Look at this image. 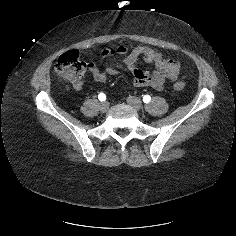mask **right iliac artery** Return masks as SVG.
<instances>
[{
    "mask_svg": "<svg viewBox=\"0 0 236 236\" xmlns=\"http://www.w3.org/2000/svg\"><path fill=\"white\" fill-rule=\"evenodd\" d=\"M98 99H99L100 101H105V100H106V95H105L104 93H100V94L98 95Z\"/></svg>",
    "mask_w": 236,
    "mask_h": 236,
    "instance_id": "1",
    "label": "right iliac artery"
}]
</instances>
